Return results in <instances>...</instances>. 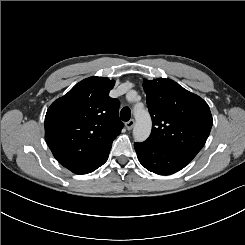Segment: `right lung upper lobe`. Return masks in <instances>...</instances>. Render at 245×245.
<instances>
[{"mask_svg":"<svg viewBox=\"0 0 245 245\" xmlns=\"http://www.w3.org/2000/svg\"><path fill=\"white\" fill-rule=\"evenodd\" d=\"M114 80L89 77L48 108L45 139L58 162L75 174L103 165L123 123L119 101L109 97Z\"/></svg>","mask_w":245,"mask_h":245,"instance_id":"1","label":"right lung upper lobe"}]
</instances>
